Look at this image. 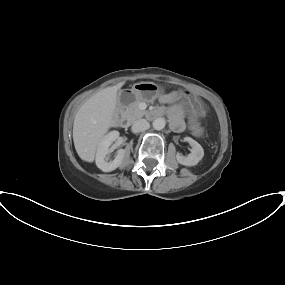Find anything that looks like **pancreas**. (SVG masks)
I'll return each instance as SVG.
<instances>
[{
    "instance_id": "obj_1",
    "label": "pancreas",
    "mask_w": 285,
    "mask_h": 285,
    "mask_svg": "<svg viewBox=\"0 0 285 285\" xmlns=\"http://www.w3.org/2000/svg\"><path fill=\"white\" fill-rule=\"evenodd\" d=\"M141 102L142 100H136L126 108L125 115H126L127 120L135 121L137 119L142 118L147 113L146 111L141 110L139 108V104Z\"/></svg>"
}]
</instances>
